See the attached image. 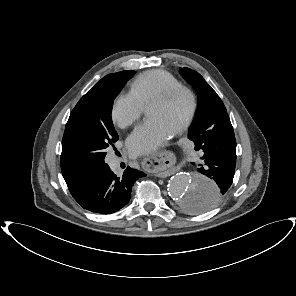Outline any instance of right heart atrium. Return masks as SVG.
I'll list each match as a JSON object with an SVG mask.
<instances>
[{"label":"right heart atrium","instance_id":"d8ad5b80","mask_svg":"<svg viewBox=\"0 0 296 296\" xmlns=\"http://www.w3.org/2000/svg\"><path fill=\"white\" fill-rule=\"evenodd\" d=\"M142 114V106L130 94H119L111 108V118L120 128H127L133 125Z\"/></svg>","mask_w":296,"mask_h":296}]
</instances>
